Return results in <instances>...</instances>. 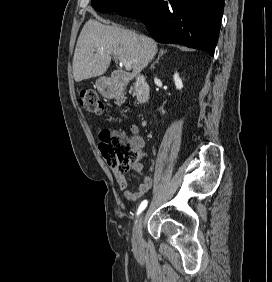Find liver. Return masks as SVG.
I'll use <instances>...</instances> for the list:
<instances>
[{"label": "liver", "instance_id": "liver-1", "mask_svg": "<svg viewBox=\"0 0 272 282\" xmlns=\"http://www.w3.org/2000/svg\"><path fill=\"white\" fill-rule=\"evenodd\" d=\"M156 53L157 44L153 39L90 19L85 23L78 37L73 61V77L76 82H80L103 75L110 65V55L131 62L132 76L135 77Z\"/></svg>", "mask_w": 272, "mask_h": 282}]
</instances>
